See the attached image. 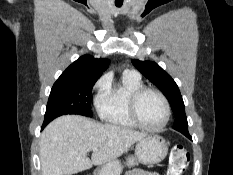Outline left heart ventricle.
<instances>
[{
    "label": "left heart ventricle",
    "mask_w": 233,
    "mask_h": 175,
    "mask_svg": "<svg viewBox=\"0 0 233 175\" xmlns=\"http://www.w3.org/2000/svg\"><path fill=\"white\" fill-rule=\"evenodd\" d=\"M138 114L147 126H159L165 118L164 105L159 96L152 92L145 93L139 100Z\"/></svg>",
    "instance_id": "1"
}]
</instances>
